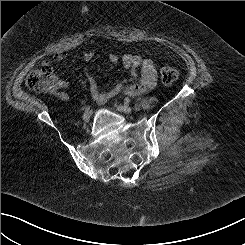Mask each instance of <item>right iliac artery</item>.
Listing matches in <instances>:
<instances>
[{
    "label": "right iliac artery",
    "instance_id": "right-iliac-artery-1",
    "mask_svg": "<svg viewBox=\"0 0 245 245\" xmlns=\"http://www.w3.org/2000/svg\"><path fill=\"white\" fill-rule=\"evenodd\" d=\"M91 109V106H86L83 108V110H85V112H88Z\"/></svg>",
    "mask_w": 245,
    "mask_h": 245
}]
</instances>
